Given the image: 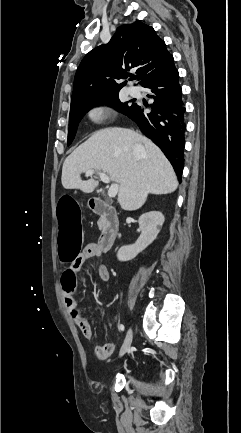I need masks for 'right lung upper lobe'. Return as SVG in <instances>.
I'll return each instance as SVG.
<instances>
[{"mask_svg": "<svg viewBox=\"0 0 241 433\" xmlns=\"http://www.w3.org/2000/svg\"><path fill=\"white\" fill-rule=\"evenodd\" d=\"M172 62L173 56L152 27L140 21L121 25L108 44L96 47L81 61L71 105L118 93L126 81L118 84L115 80L126 79L132 68L143 86Z\"/></svg>", "mask_w": 241, "mask_h": 433, "instance_id": "1", "label": "right lung upper lobe"}]
</instances>
